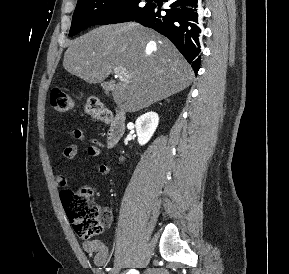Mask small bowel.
I'll list each match as a JSON object with an SVG mask.
<instances>
[{
  "instance_id": "obj_1",
  "label": "small bowel",
  "mask_w": 289,
  "mask_h": 274,
  "mask_svg": "<svg viewBox=\"0 0 289 274\" xmlns=\"http://www.w3.org/2000/svg\"><path fill=\"white\" fill-rule=\"evenodd\" d=\"M72 137L79 141H89L92 144L87 147V154L91 157H97L100 155L99 141L96 139H88L86 134L80 129H74L71 133ZM78 154V146L76 144H70L62 151V158L70 160L76 157ZM97 171L106 175L110 171V167L107 164H100L97 167ZM68 174H58L55 177V183L58 188H65L68 183ZM83 250L90 256L94 257V263L102 267L109 259V250L104 242L100 240H85L82 244Z\"/></svg>"
}]
</instances>
